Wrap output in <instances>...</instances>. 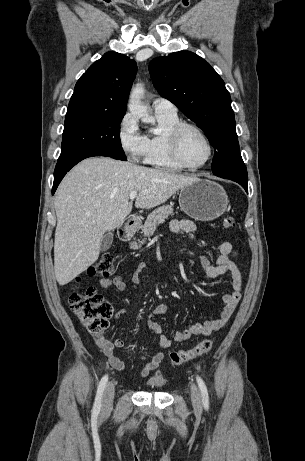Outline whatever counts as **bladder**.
<instances>
[{"label":"bladder","instance_id":"bladder-1","mask_svg":"<svg viewBox=\"0 0 305 461\" xmlns=\"http://www.w3.org/2000/svg\"><path fill=\"white\" fill-rule=\"evenodd\" d=\"M167 383L166 378L163 375H155L150 378H148L145 382V384L150 388L154 390H160L162 389Z\"/></svg>","mask_w":305,"mask_h":461}]
</instances>
